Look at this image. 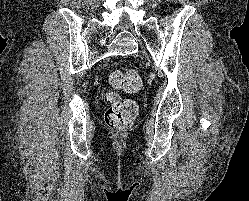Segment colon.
<instances>
[{"label": "colon", "instance_id": "1", "mask_svg": "<svg viewBox=\"0 0 249 201\" xmlns=\"http://www.w3.org/2000/svg\"><path fill=\"white\" fill-rule=\"evenodd\" d=\"M109 83L114 89L134 92L141 87V76L134 70H116L110 74ZM107 100L111 105L105 113L106 126L115 131L131 128L138 114L137 104L130 99L119 98L113 92L107 95Z\"/></svg>", "mask_w": 249, "mask_h": 201}]
</instances>
